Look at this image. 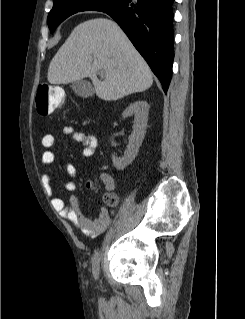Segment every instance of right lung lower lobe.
<instances>
[{"label":"right lung lower lobe","instance_id":"1","mask_svg":"<svg viewBox=\"0 0 245 319\" xmlns=\"http://www.w3.org/2000/svg\"><path fill=\"white\" fill-rule=\"evenodd\" d=\"M174 0H123L115 9L105 11L123 29L144 57L167 92L174 58Z\"/></svg>","mask_w":245,"mask_h":319}]
</instances>
